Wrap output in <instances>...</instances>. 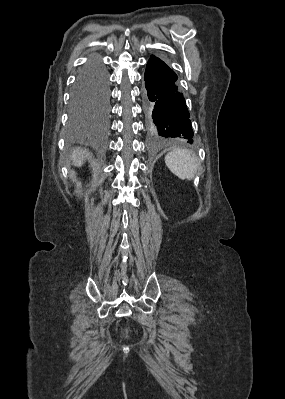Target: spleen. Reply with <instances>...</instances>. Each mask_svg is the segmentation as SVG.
Returning a JSON list of instances; mask_svg holds the SVG:
<instances>
[{
    "label": "spleen",
    "mask_w": 285,
    "mask_h": 399,
    "mask_svg": "<svg viewBox=\"0 0 285 399\" xmlns=\"http://www.w3.org/2000/svg\"><path fill=\"white\" fill-rule=\"evenodd\" d=\"M165 164L180 179L191 180L197 171V159L187 149L175 148L165 156Z\"/></svg>",
    "instance_id": "obj_1"
}]
</instances>
